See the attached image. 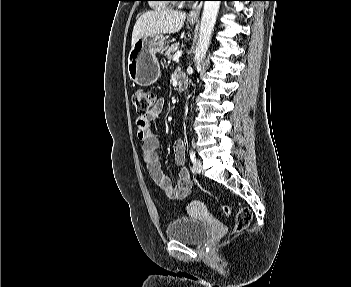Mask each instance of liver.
<instances>
[{"mask_svg": "<svg viewBox=\"0 0 351 287\" xmlns=\"http://www.w3.org/2000/svg\"><path fill=\"white\" fill-rule=\"evenodd\" d=\"M186 13L174 10H155L142 14L136 21L131 45L143 37L153 34H172L181 30Z\"/></svg>", "mask_w": 351, "mask_h": 287, "instance_id": "1", "label": "liver"}]
</instances>
